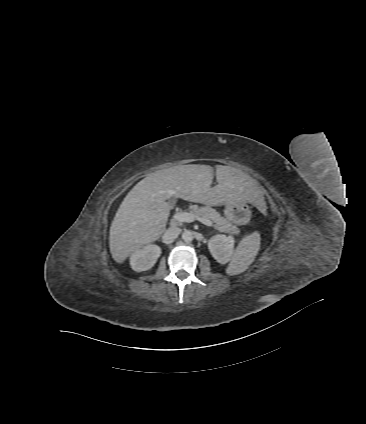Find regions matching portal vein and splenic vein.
<instances>
[{
    "label": "portal vein and splenic vein",
    "mask_w": 366,
    "mask_h": 424,
    "mask_svg": "<svg viewBox=\"0 0 366 424\" xmlns=\"http://www.w3.org/2000/svg\"><path fill=\"white\" fill-rule=\"evenodd\" d=\"M172 220L186 223H191L198 220L207 226H213V222L210 219L199 217L192 212H177L172 216Z\"/></svg>",
    "instance_id": "1"
}]
</instances>
